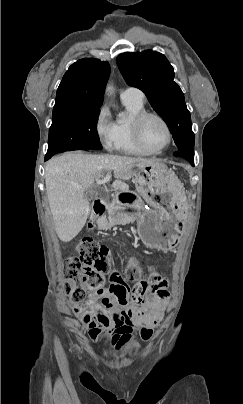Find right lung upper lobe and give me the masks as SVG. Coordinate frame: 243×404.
Segmentation results:
<instances>
[{
  "label": "right lung upper lobe",
  "instance_id": "cb5924a9",
  "mask_svg": "<svg viewBox=\"0 0 243 404\" xmlns=\"http://www.w3.org/2000/svg\"><path fill=\"white\" fill-rule=\"evenodd\" d=\"M109 74L108 62L94 58L75 62L63 76L57 90L54 108L101 106Z\"/></svg>",
  "mask_w": 243,
  "mask_h": 404
}]
</instances>
